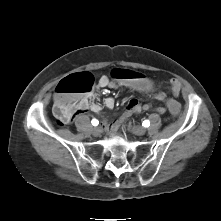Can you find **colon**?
Wrapping results in <instances>:
<instances>
[{
  "mask_svg": "<svg viewBox=\"0 0 221 221\" xmlns=\"http://www.w3.org/2000/svg\"><path fill=\"white\" fill-rule=\"evenodd\" d=\"M107 77L112 82H120L138 93L148 96H155L160 90V85L146 72H136L125 67L112 66L107 71ZM94 85V77L89 72H82L69 76L59 82L55 89L54 114L61 125L71 122L73 119L74 105L77 99L89 92ZM172 117L181 115V104L178 100L172 99L166 103Z\"/></svg>",
  "mask_w": 221,
  "mask_h": 221,
  "instance_id": "1",
  "label": "colon"
}]
</instances>
